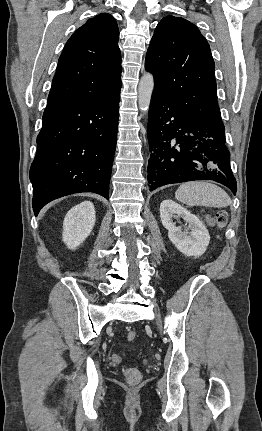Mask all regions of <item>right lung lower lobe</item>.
Returning <instances> with one entry per match:
<instances>
[{"label":"right lung lower lobe","mask_w":262,"mask_h":431,"mask_svg":"<svg viewBox=\"0 0 262 431\" xmlns=\"http://www.w3.org/2000/svg\"><path fill=\"white\" fill-rule=\"evenodd\" d=\"M120 92L101 102L48 103L30 168L37 216L48 202L73 193L109 198Z\"/></svg>","instance_id":"1"}]
</instances>
